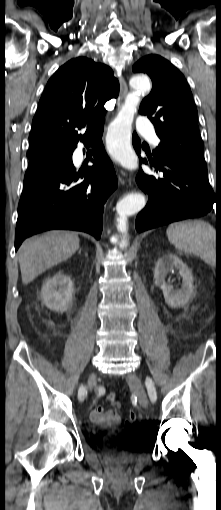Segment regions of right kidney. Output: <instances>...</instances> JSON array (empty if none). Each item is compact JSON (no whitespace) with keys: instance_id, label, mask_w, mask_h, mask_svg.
<instances>
[{"instance_id":"right-kidney-1","label":"right kidney","mask_w":221,"mask_h":510,"mask_svg":"<svg viewBox=\"0 0 221 510\" xmlns=\"http://www.w3.org/2000/svg\"><path fill=\"white\" fill-rule=\"evenodd\" d=\"M73 283L69 276L58 272L48 278L41 289V299L50 310L64 312L73 299Z\"/></svg>"}]
</instances>
